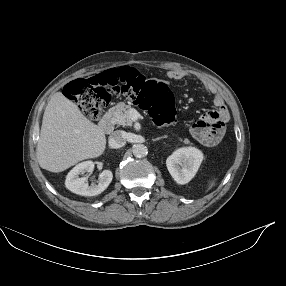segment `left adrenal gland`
Returning a JSON list of instances; mask_svg holds the SVG:
<instances>
[{
    "instance_id": "obj_1",
    "label": "left adrenal gland",
    "mask_w": 286,
    "mask_h": 286,
    "mask_svg": "<svg viewBox=\"0 0 286 286\" xmlns=\"http://www.w3.org/2000/svg\"><path fill=\"white\" fill-rule=\"evenodd\" d=\"M163 138H166L165 136H162V137H157L155 139H152V141H157V140H160V139H163Z\"/></svg>"
}]
</instances>
